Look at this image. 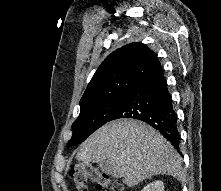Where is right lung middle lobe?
<instances>
[{
  "label": "right lung middle lobe",
  "instance_id": "dd1d6c3e",
  "mask_svg": "<svg viewBox=\"0 0 221 191\" xmlns=\"http://www.w3.org/2000/svg\"><path fill=\"white\" fill-rule=\"evenodd\" d=\"M126 94L81 108L72 124L73 135L68 147L82 143L89 135L111 120Z\"/></svg>",
  "mask_w": 221,
  "mask_h": 191
}]
</instances>
